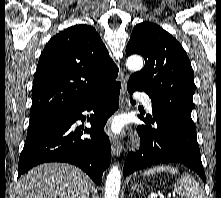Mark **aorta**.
Segmentation results:
<instances>
[{
  "instance_id": "762f6f07",
  "label": "aorta",
  "mask_w": 221,
  "mask_h": 198,
  "mask_svg": "<svg viewBox=\"0 0 221 198\" xmlns=\"http://www.w3.org/2000/svg\"><path fill=\"white\" fill-rule=\"evenodd\" d=\"M126 66L131 71H139L143 67V60L140 56H130L126 61ZM121 187V171L114 165L109 171L105 183V198H119Z\"/></svg>"
}]
</instances>
